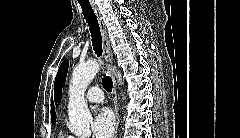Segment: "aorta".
I'll list each match as a JSON object with an SVG mask.
<instances>
[{
  "label": "aorta",
  "mask_w": 240,
  "mask_h": 138,
  "mask_svg": "<svg viewBox=\"0 0 240 138\" xmlns=\"http://www.w3.org/2000/svg\"><path fill=\"white\" fill-rule=\"evenodd\" d=\"M99 70V63L91 60L74 68L69 86L68 115L70 130L80 138L90 136L92 116L84 98L85 91ZM119 78L120 75L118 74Z\"/></svg>",
  "instance_id": "1"
}]
</instances>
